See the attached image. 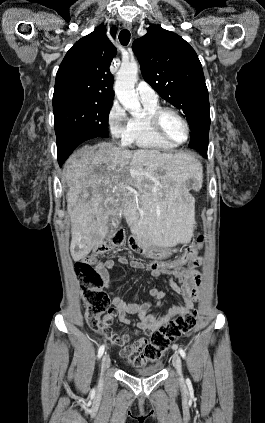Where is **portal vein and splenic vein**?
<instances>
[{
    "mask_svg": "<svg viewBox=\"0 0 265 423\" xmlns=\"http://www.w3.org/2000/svg\"><path fill=\"white\" fill-rule=\"evenodd\" d=\"M127 189L132 190V188L130 186H128Z\"/></svg>",
    "mask_w": 265,
    "mask_h": 423,
    "instance_id": "18ae733b",
    "label": "portal vein and splenic vein"
}]
</instances>
